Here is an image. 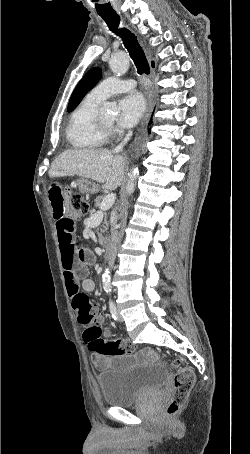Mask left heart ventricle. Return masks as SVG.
I'll use <instances>...</instances> for the list:
<instances>
[{"label": "left heart ventricle", "instance_id": "obj_1", "mask_svg": "<svg viewBox=\"0 0 250 454\" xmlns=\"http://www.w3.org/2000/svg\"><path fill=\"white\" fill-rule=\"evenodd\" d=\"M101 119L107 125H112V123L114 121V119L112 117H106V116H102Z\"/></svg>", "mask_w": 250, "mask_h": 454}]
</instances>
